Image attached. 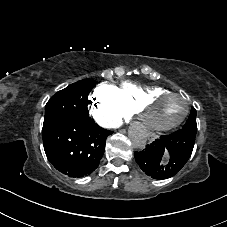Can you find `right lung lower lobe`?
<instances>
[{
    "label": "right lung lower lobe",
    "instance_id": "obj_1",
    "mask_svg": "<svg viewBox=\"0 0 227 227\" xmlns=\"http://www.w3.org/2000/svg\"><path fill=\"white\" fill-rule=\"evenodd\" d=\"M43 145L50 163L70 177L92 173L104 154L106 138L113 132L89 116L62 120L43 129Z\"/></svg>",
    "mask_w": 227,
    "mask_h": 227
}]
</instances>
